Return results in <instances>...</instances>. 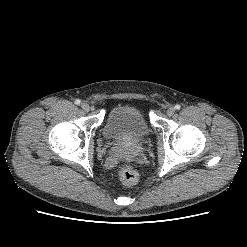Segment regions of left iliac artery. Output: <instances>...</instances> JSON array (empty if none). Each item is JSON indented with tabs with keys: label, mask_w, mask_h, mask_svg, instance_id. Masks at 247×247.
Listing matches in <instances>:
<instances>
[{
	"label": "left iliac artery",
	"mask_w": 247,
	"mask_h": 247,
	"mask_svg": "<svg viewBox=\"0 0 247 247\" xmlns=\"http://www.w3.org/2000/svg\"><path fill=\"white\" fill-rule=\"evenodd\" d=\"M175 108H176L177 110H179V109L181 108V106L177 104V105L175 106Z\"/></svg>",
	"instance_id": "44dca946"
}]
</instances>
